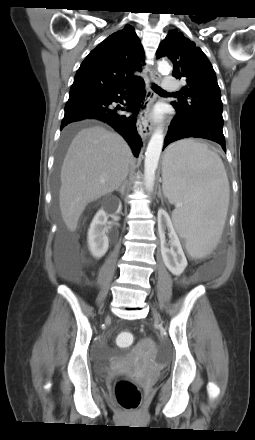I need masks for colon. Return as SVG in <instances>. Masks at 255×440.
I'll return each instance as SVG.
<instances>
[{
	"label": "colon",
	"instance_id": "colon-1",
	"mask_svg": "<svg viewBox=\"0 0 255 440\" xmlns=\"http://www.w3.org/2000/svg\"><path fill=\"white\" fill-rule=\"evenodd\" d=\"M134 342L132 333L120 332L116 337V343L120 347H129ZM115 397L119 405L126 410H136L140 405V393L135 384L128 380H120L116 384Z\"/></svg>",
	"mask_w": 255,
	"mask_h": 440
}]
</instances>
